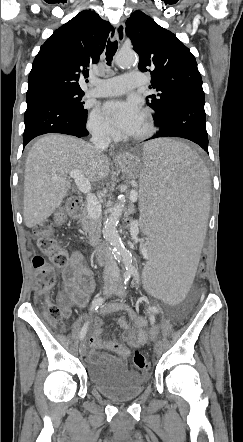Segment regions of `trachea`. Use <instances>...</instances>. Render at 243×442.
Masks as SVG:
<instances>
[{
    "mask_svg": "<svg viewBox=\"0 0 243 442\" xmlns=\"http://www.w3.org/2000/svg\"><path fill=\"white\" fill-rule=\"evenodd\" d=\"M117 46H118L117 41L108 40V43L106 46V60H107L108 65L111 64L113 56L115 55V53L117 51Z\"/></svg>",
    "mask_w": 243,
    "mask_h": 442,
    "instance_id": "trachea-1",
    "label": "trachea"
}]
</instances>
